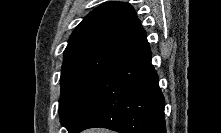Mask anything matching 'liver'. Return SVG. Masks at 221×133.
<instances>
[{
  "label": "liver",
  "mask_w": 221,
  "mask_h": 133,
  "mask_svg": "<svg viewBox=\"0 0 221 133\" xmlns=\"http://www.w3.org/2000/svg\"><path fill=\"white\" fill-rule=\"evenodd\" d=\"M85 133H107L106 130H102V129H92V130H88Z\"/></svg>",
  "instance_id": "1"
}]
</instances>
